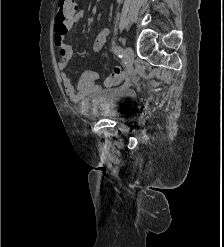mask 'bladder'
<instances>
[{"instance_id":"31cf9c89","label":"bladder","mask_w":224,"mask_h":247,"mask_svg":"<svg viewBox=\"0 0 224 247\" xmlns=\"http://www.w3.org/2000/svg\"><path fill=\"white\" fill-rule=\"evenodd\" d=\"M137 93L131 89L100 90L92 101L93 116L121 122L130 121L137 105Z\"/></svg>"}]
</instances>
